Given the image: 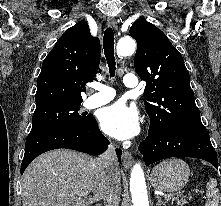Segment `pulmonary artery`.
<instances>
[{"label": "pulmonary artery", "instance_id": "1", "mask_svg": "<svg viewBox=\"0 0 221 206\" xmlns=\"http://www.w3.org/2000/svg\"><path fill=\"white\" fill-rule=\"evenodd\" d=\"M123 83L126 87L135 88L138 86V78L134 74H126L123 77ZM94 89L97 90V93L90 96L86 102L87 107L89 108L104 105L111 101L115 96V91L110 86L96 83Z\"/></svg>", "mask_w": 221, "mask_h": 206}]
</instances>
